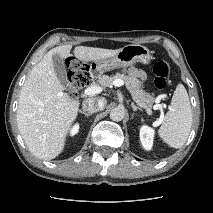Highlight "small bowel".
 <instances>
[{"instance_id":"1","label":"small bowel","mask_w":213,"mask_h":213,"mask_svg":"<svg viewBox=\"0 0 213 213\" xmlns=\"http://www.w3.org/2000/svg\"><path fill=\"white\" fill-rule=\"evenodd\" d=\"M131 74L140 81L144 80V78H145L144 72L138 68H132Z\"/></svg>"}]
</instances>
